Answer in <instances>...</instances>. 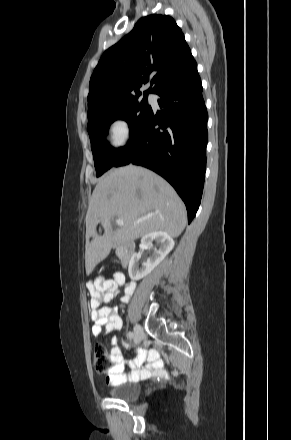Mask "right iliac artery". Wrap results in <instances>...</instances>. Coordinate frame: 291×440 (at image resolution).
I'll return each mask as SVG.
<instances>
[{"label": "right iliac artery", "mask_w": 291, "mask_h": 440, "mask_svg": "<svg viewBox=\"0 0 291 440\" xmlns=\"http://www.w3.org/2000/svg\"><path fill=\"white\" fill-rule=\"evenodd\" d=\"M133 336H134L133 332H129V333H128V337H129L130 339H132Z\"/></svg>", "instance_id": "obj_1"}]
</instances>
